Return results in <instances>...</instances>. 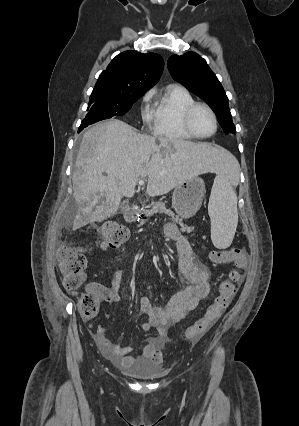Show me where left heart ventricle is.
I'll return each instance as SVG.
<instances>
[{
    "instance_id": "obj_1",
    "label": "left heart ventricle",
    "mask_w": 299,
    "mask_h": 426,
    "mask_svg": "<svg viewBox=\"0 0 299 426\" xmlns=\"http://www.w3.org/2000/svg\"><path fill=\"white\" fill-rule=\"evenodd\" d=\"M192 125L194 130L203 136H207L214 131V121L209 112L199 108L193 115Z\"/></svg>"
}]
</instances>
